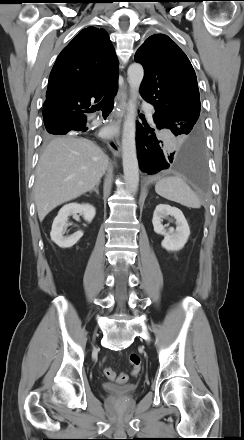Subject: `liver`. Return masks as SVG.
Returning a JSON list of instances; mask_svg holds the SVG:
<instances>
[{
  "label": "liver",
  "mask_w": 244,
  "mask_h": 440,
  "mask_svg": "<svg viewBox=\"0 0 244 440\" xmlns=\"http://www.w3.org/2000/svg\"><path fill=\"white\" fill-rule=\"evenodd\" d=\"M107 167V156L92 141L74 136L54 138L36 168L34 199L39 220L58 205L91 191Z\"/></svg>",
  "instance_id": "6515ba94"
}]
</instances>
